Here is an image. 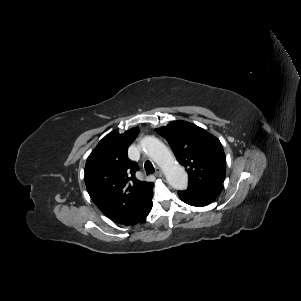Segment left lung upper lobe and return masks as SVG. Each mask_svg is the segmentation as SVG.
<instances>
[{"instance_id": "obj_1", "label": "left lung upper lobe", "mask_w": 301, "mask_h": 301, "mask_svg": "<svg viewBox=\"0 0 301 301\" xmlns=\"http://www.w3.org/2000/svg\"><path fill=\"white\" fill-rule=\"evenodd\" d=\"M156 132L168 141L178 162L186 168L189 187L220 192L226 174V157L215 136L185 121H173Z\"/></svg>"}]
</instances>
